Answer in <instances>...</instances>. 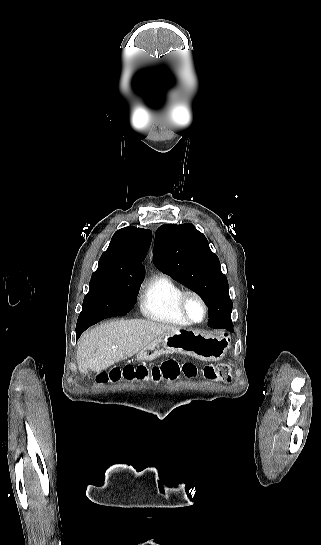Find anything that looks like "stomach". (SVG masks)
<instances>
[{
	"instance_id": "1",
	"label": "stomach",
	"mask_w": 321,
	"mask_h": 545,
	"mask_svg": "<svg viewBox=\"0 0 321 545\" xmlns=\"http://www.w3.org/2000/svg\"><path fill=\"white\" fill-rule=\"evenodd\" d=\"M232 337L228 331L217 335H203L192 329H179L175 333L161 335L137 355V361H154L161 355L181 353L201 361H220L231 349Z\"/></svg>"
}]
</instances>
